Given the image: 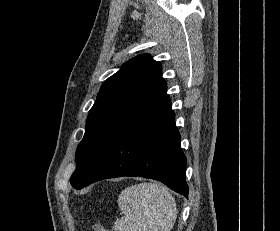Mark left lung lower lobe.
<instances>
[{
  "instance_id": "0a47b994",
  "label": "left lung lower lobe",
  "mask_w": 280,
  "mask_h": 231,
  "mask_svg": "<svg viewBox=\"0 0 280 231\" xmlns=\"http://www.w3.org/2000/svg\"><path fill=\"white\" fill-rule=\"evenodd\" d=\"M167 97L152 112L119 132L101 151L75 189L108 178L141 176L161 181L188 197L186 157Z\"/></svg>"
}]
</instances>
